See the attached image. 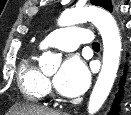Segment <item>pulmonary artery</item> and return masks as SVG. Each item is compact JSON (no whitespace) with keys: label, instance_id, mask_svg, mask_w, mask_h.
I'll return each instance as SVG.
<instances>
[{"label":"pulmonary artery","instance_id":"obj_1","mask_svg":"<svg viewBox=\"0 0 131 115\" xmlns=\"http://www.w3.org/2000/svg\"><path fill=\"white\" fill-rule=\"evenodd\" d=\"M91 32L82 27H68L54 30L40 44L41 48L55 47L64 51H73L79 45H91Z\"/></svg>","mask_w":131,"mask_h":115}]
</instances>
